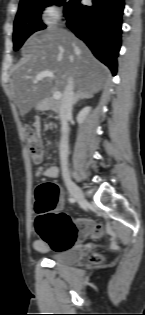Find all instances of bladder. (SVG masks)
Instances as JSON below:
<instances>
[{"instance_id":"bladder-1","label":"bladder","mask_w":145,"mask_h":315,"mask_svg":"<svg viewBox=\"0 0 145 315\" xmlns=\"http://www.w3.org/2000/svg\"><path fill=\"white\" fill-rule=\"evenodd\" d=\"M51 260L60 265H75L79 261V248L73 246L57 250Z\"/></svg>"}]
</instances>
